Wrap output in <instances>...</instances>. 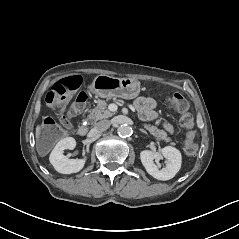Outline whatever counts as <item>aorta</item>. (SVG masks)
<instances>
[{
    "instance_id": "obj_1",
    "label": "aorta",
    "mask_w": 239,
    "mask_h": 239,
    "mask_svg": "<svg viewBox=\"0 0 239 239\" xmlns=\"http://www.w3.org/2000/svg\"><path fill=\"white\" fill-rule=\"evenodd\" d=\"M131 132V128L128 125H120L117 128V133L121 137H128Z\"/></svg>"
}]
</instances>
